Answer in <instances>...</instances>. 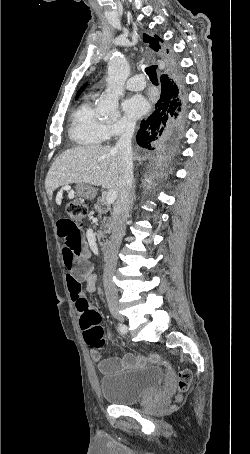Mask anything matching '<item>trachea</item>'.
I'll list each match as a JSON object with an SVG mask.
<instances>
[{"label":"trachea","mask_w":250,"mask_h":454,"mask_svg":"<svg viewBox=\"0 0 250 454\" xmlns=\"http://www.w3.org/2000/svg\"><path fill=\"white\" fill-rule=\"evenodd\" d=\"M157 66H149L145 69V72L147 73V75L149 76L151 82L153 84H158V78H157Z\"/></svg>","instance_id":"3493384b"}]
</instances>
